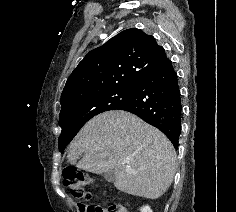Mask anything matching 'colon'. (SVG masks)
Here are the masks:
<instances>
[{
	"label": "colon",
	"mask_w": 236,
	"mask_h": 212,
	"mask_svg": "<svg viewBox=\"0 0 236 212\" xmlns=\"http://www.w3.org/2000/svg\"><path fill=\"white\" fill-rule=\"evenodd\" d=\"M63 183L71 194L79 199H91V192L88 190L93 184L92 178L75 168H66L63 173ZM117 204H112L108 208L99 205H88L83 207V212H114Z\"/></svg>",
	"instance_id": "5ec220e1"
}]
</instances>
